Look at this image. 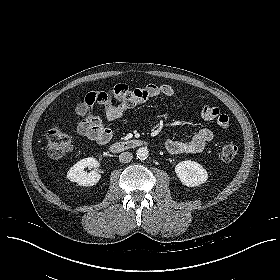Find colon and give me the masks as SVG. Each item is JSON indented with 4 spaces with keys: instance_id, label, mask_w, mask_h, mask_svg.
I'll return each mask as SVG.
<instances>
[{
    "instance_id": "5ec220e1",
    "label": "colon",
    "mask_w": 280,
    "mask_h": 280,
    "mask_svg": "<svg viewBox=\"0 0 280 280\" xmlns=\"http://www.w3.org/2000/svg\"><path fill=\"white\" fill-rule=\"evenodd\" d=\"M204 117L206 119H214L217 124L226 129L229 126V117L222 114L216 107H210L206 110ZM109 132L93 129L90 136L94 139H103L108 141ZM71 150L70 137L59 127L51 128L47 132V153L50 158L58 159L69 153ZM237 154V146L234 143H225L221 149V158L223 161L229 162L235 158Z\"/></svg>"
}]
</instances>
